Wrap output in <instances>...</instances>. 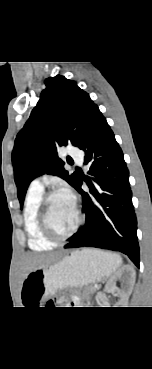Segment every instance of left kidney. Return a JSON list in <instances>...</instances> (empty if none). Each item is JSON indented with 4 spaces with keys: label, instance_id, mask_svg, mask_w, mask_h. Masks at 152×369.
Returning a JSON list of instances; mask_svg holds the SVG:
<instances>
[{
    "label": "left kidney",
    "instance_id": "5707ae66",
    "mask_svg": "<svg viewBox=\"0 0 152 369\" xmlns=\"http://www.w3.org/2000/svg\"><path fill=\"white\" fill-rule=\"evenodd\" d=\"M121 277H124L126 279V283L124 289L121 292H119V296L123 299H127L133 289L136 278V272L134 268H132L131 266H124L121 269H119L115 273V275L109 279V281L105 286V289L108 292H115L116 291L115 282Z\"/></svg>",
    "mask_w": 152,
    "mask_h": 369
}]
</instances>
